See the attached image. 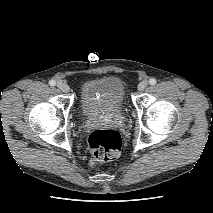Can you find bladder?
<instances>
[{"label": "bladder", "mask_w": 213, "mask_h": 213, "mask_svg": "<svg viewBox=\"0 0 213 213\" xmlns=\"http://www.w3.org/2000/svg\"><path fill=\"white\" fill-rule=\"evenodd\" d=\"M125 85L114 76L85 82L80 90V106L86 117L121 111L125 103Z\"/></svg>", "instance_id": "1"}]
</instances>
